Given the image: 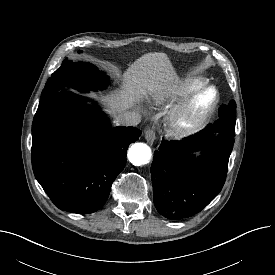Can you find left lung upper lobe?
<instances>
[{"mask_svg": "<svg viewBox=\"0 0 275 275\" xmlns=\"http://www.w3.org/2000/svg\"><path fill=\"white\" fill-rule=\"evenodd\" d=\"M235 111H236V103L234 101H231L227 106H224L222 108V112L225 115L223 120L233 126H235V122H236Z\"/></svg>", "mask_w": 275, "mask_h": 275, "instance_id": "1", "label": "left lung upper lobe"}]
</instances>
